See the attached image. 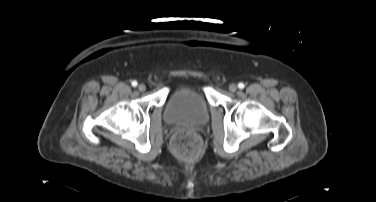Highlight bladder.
<instances>
[{"instance_id": "1", "label": "bladder", "mask_w": 376, "mask_h": 202, "mask_svg": "<svg viewBox=\"0 0 376 202\" xmlns=\"http://www.w3.org/2000/svg\"><path fill=\"white\" fill-rule=\"evenodd\" d=\"M209 116L208 102L197 89L174 91L164 107V119L170 124L199 127L207 123Z\"/></svg>"}]
</instances>
